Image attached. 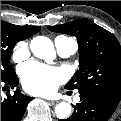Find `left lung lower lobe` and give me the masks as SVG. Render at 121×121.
I'll use <instances>...</instances> for the list:
<instances>
[{
	"mask_svg": "<svg viewBox=\"0 0 121 121\" xmlns=\"http://www.w3.org/2000/svg\"><path fill=\"white\" fill-rule=\"evenodd\" d=\"M79 93L80 103L74 106L72 116L59 121H107L118 105L98 93L90 91Z\"/></svg>",
	"mask_w": 121,
	"mask_h": 121,
	"instance_id": "1",
	"label": "left lung lower lobe"
}]
</instances>
